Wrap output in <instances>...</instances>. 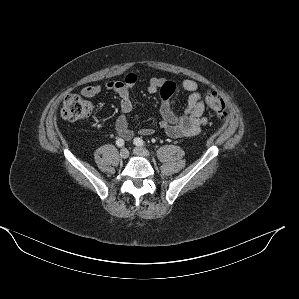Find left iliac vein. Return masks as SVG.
<instances>
[{
    "instance_id": "1",
    "label": "left iliac vein",
    "mask_w": 299,
    "mask_h": 299,
    "mask_svg": "<svg viewBox=\"0 0 299 299\" xmlns=\"http://www.w3.org/2000/svg\"><path fill=\"white\" fill-rule=\"evenodd\" d=\"M134 153L138 156H142V157H149L150 156V152L142 147H135L134 148Z\"/></svg>"
}]
</instances>
